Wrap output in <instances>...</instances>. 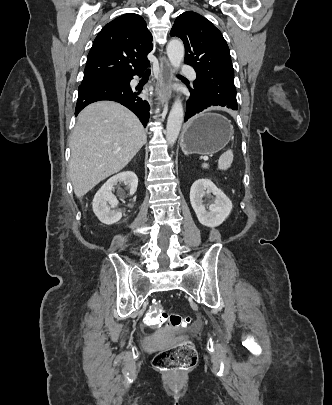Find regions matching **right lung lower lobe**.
I'll return each instance as SVG.
<instances>
[{
	"instance_id": "obj_1",
	"label": "right lung lower lobe",
	"mask_w": 332,
	"mask_h": 405,
	"mask_svg": "<svg viewBox=\"0 0 332 405\" xmlns=\"http://www.w3.org/2000/svg\"><path fill=\"white\" fill-rule=\"evenodd\" d=\"M146 67L138 72L117 78H98L81 83L75 115L77 116L90 103L100 100H111L129 108L138 116L145 127L149 119L150 107L147 101L142 100L138 96L142 88H131L130 81L134 75L142 76Z\"/></svg>"
}]
</instances>
